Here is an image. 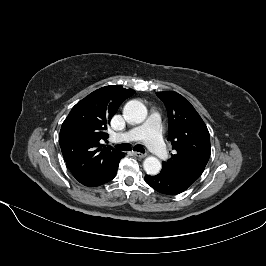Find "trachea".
<instances>
[{
	"label": "trachea",
	"mask_w": 266,
	"mask_h": 266,
	"mask_svg": "<svg viewBox=\"0 0 266 266\" xmlns=\"http://www.w3.org/2000/svg\"><path fill=\"white\" fill-rule=\"evenodd\" d=\"M115 147L123 151H128L132 149V147L127 143L119 144V145H116ZM133 150L137 152L145 153V149L141 145H135L133 147Z\"/></svg>",
	"instance_id": "trachea-1"
}]
</instances>
